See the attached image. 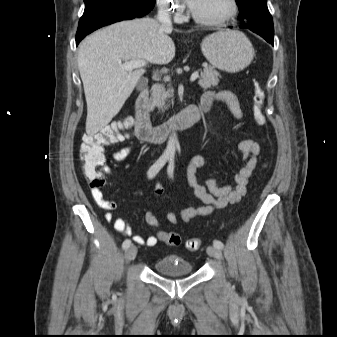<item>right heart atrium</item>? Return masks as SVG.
Instances as JSON below:
<instances>
[{
    "label": "right heart atrium",
    "instance_id": "obj_1",
    "mask_svg": "<svg viewBox=\"0 0 337 337\" xmlns=\"http://www.w3.org/2000/svg\"><path fill=\"white\" fill-rule=\"evenodd\" d=\"M157 4L162 12L171 16L174 20L182 18L184 6L179 0H157Z\"/></svg>",
    "mask_w": 337,
    "mask_h": 337
}]
</instances>
